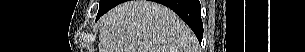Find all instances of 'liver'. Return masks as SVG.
<instances>
[{"mask_svg":"<svg viewBox=\"0 0 305 52\" xmlns=\"http://www.w3.org/2000/svg\"><path fill=\"white\" fill-rule=\"evenodd\" d=\"M99 52H197L190 28L168 7L147 0L117 5L100 20Z\"/></svg>","mask_w":305,"mask_h":52,"instance_id":"obj_1","label":"liver"}]
</instances>
